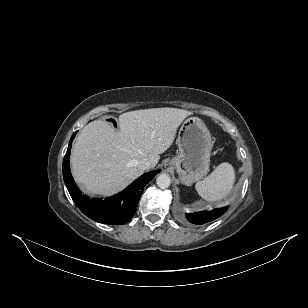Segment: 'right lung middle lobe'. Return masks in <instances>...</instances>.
I'll use <instances>...</instances> for the list:
<instances>
[{"label":"right lung middle lobe","instance_id":"obj_1","mask_svg":"<svg viewBox=\"0 0 308 308\" xmlns=\"http://www.w3.org/2000/svg\"><path fill=\"white\" fill-rule=\"evenodd\" d=\"M111 122H113L114 126H116V122L113 119H109Z\"/></svg>","mask_w":308,"mask_h":308}]
</instances>
